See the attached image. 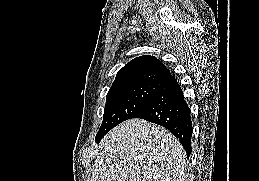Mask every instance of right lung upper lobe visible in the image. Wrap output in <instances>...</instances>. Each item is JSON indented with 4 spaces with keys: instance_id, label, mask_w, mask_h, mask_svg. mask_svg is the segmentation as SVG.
<instances>
[{
    "instance_id": "right-lung-upper-lobe-1",
    "label": "right lung upper lobe",
    "mask_w": 259,
    "mask_h": 181,
    "mask_svg": "<svg viewBox=\"0 0 259 181\" xmlns=\"http://www.w3.org/2000/svg\"><path fill=\"white\" fill-rule=\"evenodd\" d=\"M170 75V71L156 57L144 55L120 69L110 89L137 84L160 85Z\"/></svg>"
}]
</instances>
